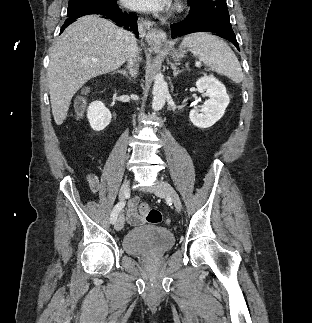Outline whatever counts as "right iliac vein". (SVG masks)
Wrapping results in <instances>:
<instances>
[{
	"label": "right iliac vein",
	"mask_w": 312,
	"mask_h": 323,
	"mask_svg": "<svg viewBox=\"0 0 312 323\" xmlns=\"http://www.w3.org/2000/svg\"><path fill=\"white\" fill-rule=\"evenodd\" d=\"M130 191V181L129 179H125L123 184L121 185L120 192H119V199L124 200L128 195ZM124 226V216L123 213H120L116 223H115V229L117 231H120Z\"/></svg>",
	"instance_id": "right-iliac-vein-1"
}]
</instances>
